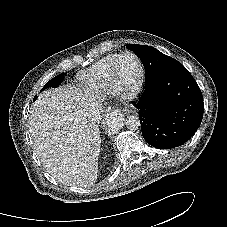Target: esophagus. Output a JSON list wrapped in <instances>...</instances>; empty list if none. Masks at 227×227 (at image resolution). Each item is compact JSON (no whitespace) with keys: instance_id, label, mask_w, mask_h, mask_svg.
Returning <instances> with one entry per match:
<instances>
[{"instance_id":"esophagus-1","label":"esophagus","mask_w":227,"mask_h":227,"mask_svg":"<svg viewBox=\"0 0 227 227\" xmlns=\"http://www.w3.org/2000/svg\"><path fill=\"white\" fill-rule=\"evenodd\" d=\"M110 109H111V113H115V115H120V116H122V114H121V110L120 109H118V108H116V107H110ZM111 113H109V114H111Z\"/></svg>"}]
</instances>
